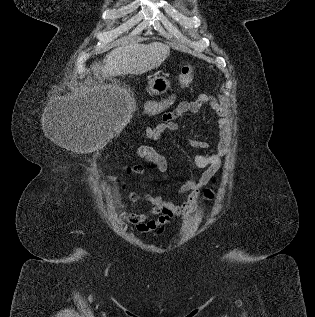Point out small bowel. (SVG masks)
Wrapping results in <instances>:
<instances>
[{
    "label": "small bowel",
    "mask_w": 315,
    "mask_h": 317,
    "mask_svg": "<svg viewBox=\"0 0 315 317\" xmlns=\"http://www.w3.org/2000/svg\"><path fill=\"white\" fill-rule=\"evenodd\" d=\"M207 105L213 109L219 119L215 128L219 133V141L216 148L205 140L190 139L189 144L194 149H206L210 151L209 155L196 154L193 157V164L197 168H206L198 181L187 179L182 182L179 188V194L188 193V199L183 204H176L163 198L160 194L133 192L127 195L131 202L142 200L151 205L147 213H127L123 216L125 222L134 226L138 233L152 234L158 237L163 234L167 224L174 217L183 215L190 211L197 203L202 191L206 198H212L213 192L210 189H204L216 176L221 159L227 154L230 144V123L225 108L215 99L208 95H200L196 100L183 101L175 109L166 112L162 116V121L153 127L145 130L147 138L161 142L163 134L166 131H176L179 129L177 120L185 113H198L200 109ZM136 155L146 163H150L164 175L168 170V162L164 155L155 148L148 145H140L136 149ZM127 174L138 176L145 175V168L142 165H132L126 168ZM125 188V185L123 186ZM204 189V190H202ZM156 217V218H153Z\"/></svg>",
    "instance_id": "1"
}]
</instances>
